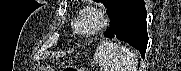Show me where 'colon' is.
Wrapping results in <instances>:
<instances>
[{
	"label": "colon",
	"mask_w": 181,
	"mask_h": 71,
	"mask_svg": "<svg viewBox=\"0 0 181 71\" xmlns=\"http://www.w3.org/2000/svg\"><path fill=\"white\" fill-rule=\"evenodd\" d=\"M64 71H83V69H79L75 66L68 65L64 67Z\"/></svg>",
	"instance_id": "colon-1"
}]
</instances>
